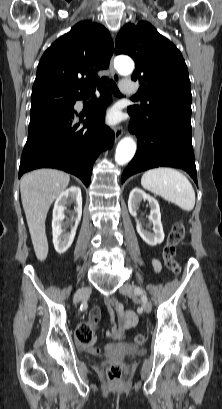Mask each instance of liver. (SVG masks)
Here are the masks:
<instances>
[{
	"label": "liver",
	"instance_id": "6515ba94",
	"mask_svg": "<svg viewBox=\"0 0 222 409\" xmlns=\"http://www.w3.org/2000/svg\"><path fill=\"white\" fill-rule=\"evenodd\" d=\"M70 176L55 169H38L25 174L20 181L23 209L36 257L48 255L45 220L53 201L67 188Z\"/></svg>",
	"mask_w": 222,
	"mask_h": 409
}]
</instances>
